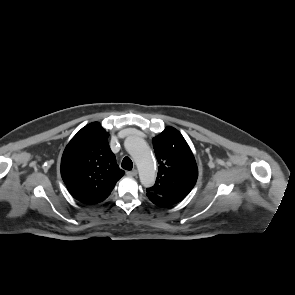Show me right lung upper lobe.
Returning a JSON list of instances; mask_svg holds the SVG:
<instances>
[{"instance_id":"cb5924a9","label":"right lung upper lobe","mask_w":295,"mask_h":295,"mask_svg":"<svg viewBox=\"0 0 295 295\" xmlns=\"http://www.w3.org/2000/svg\"><path fill=\"white\" fill-rule=\"evenodd\" d=\"M108 136L100 123H90L72 138L61 159V176L68 191L87 205L104 201L124 175Z\"/></svg>"}]
</instances>
